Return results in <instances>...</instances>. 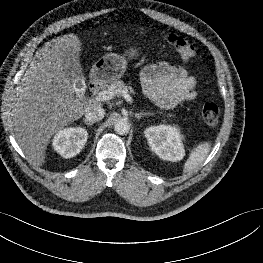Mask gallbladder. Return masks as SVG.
<instances>
[{
	"mask_svg": "<svg viewBox=\"0 0 263 263\" xmlns=\"http://www.w3.org/2000/svg\"><path fill=\"white\" fill-rule=\"evenodd\" d=\"M63 60V65L66 67L68 72V78L72 83H75L83 77L79 57L77 54L73 53V50L66 53Z\"/></svg>",
	"mask_w": 263,
	"mask_h": 263,
	"instance_id": "gallbladder-1",
	"label": "gallbladder"
}]
</instances>
